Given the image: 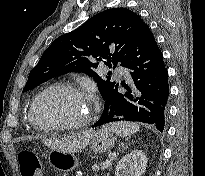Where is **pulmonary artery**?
<instances>
[{"label":"pulmonary artery","instance_id":"e3ab8cb5","mask_svg":"<svg viewBox=\"0 0 205 176\" xmlns=\"http://www.w3.org/2000/svg\"><path fill=\"white\" fill-rule=\"evenodd\" d=\"M116 71L119 77L128 76V70L121 66H119Z\"/></svg>","mask_w":205,"mask_h":176}]
</instances>
